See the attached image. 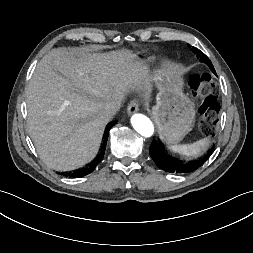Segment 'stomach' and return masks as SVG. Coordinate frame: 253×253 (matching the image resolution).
<instances>
[{
  "instance_id": "1",
  "label": "stomach",
  "mask_w": 253,
  "mask_h": 253,
  "mask_svg": "<svg viewBox=\"0 0 253 253\" xmlns=\"http://www.w3.org/2000/svg\"><path fill=\"white\" fill-rule=\"evenodd\" d=\"M153 80L159 89L152 115L160 138L168 144L180 142L193 128L195 110L182 92L183 79L177 70L164 66L155 71Z\"/></svg>"
}]
</instances>
